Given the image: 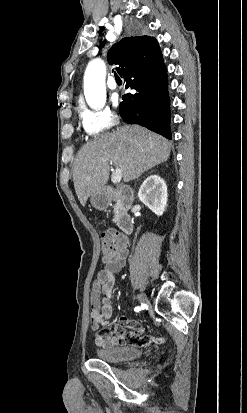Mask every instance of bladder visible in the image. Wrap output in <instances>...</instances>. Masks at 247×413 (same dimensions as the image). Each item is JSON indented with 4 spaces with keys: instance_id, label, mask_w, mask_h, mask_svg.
I'll use <instances>...</instances> for the list:
<instances>
[{
    "instance_id": "bladder-1",
    "label": "bladder",
    "mask_w": 247,
    "mask_h": 413,
    "mask_svg": "<svg viewBox=\"0 0 247 413\" xmlns=\"http://www.w3.org/2000/svg\"><path fill=\"white\" fill-rule=\"evenodd\" d=\"M143 351L139 347H112L111 349H97L96 358L109 362H127L140 359Z\"/></svg>"
}]
</instances>
